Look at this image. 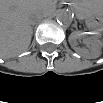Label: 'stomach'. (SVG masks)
Segmentation results:
<instances>
[{"instance_id": "stomach-1", "label": "stomach", "mask_w": 103, "mask_h": 103, "mask_svg": "<svg viewBox=\"0 0 103 103\" xmlns=\"http://www.w3.org/2000/svg\"><path fill=\"white\" fill-rule=\"evenodd\" d=\"M81 6L91 10L98 9L99 7H101V5L97 2H93V3L85 2V3H82Z\"/></svg>"}]
</instances>
